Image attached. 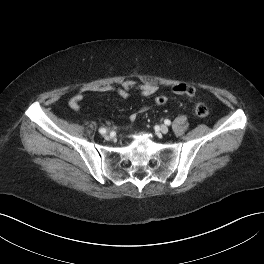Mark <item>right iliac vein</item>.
<instances>
[{"mask_svg": "<svg viewBox=\"0 0 264 264\" xmlns=\"http://www.w3.org/2000/svg\"><path fill=\"white\" fill-rule=\"evenodd\" d=\"M104 137L108 138L109 137V134L108 133H105L104 134Z\"/></svg>", "mask_w": 264, "mask_h": 264, "instance_id": "obj_1", "label": "right iliac vein"}]
</instances>
